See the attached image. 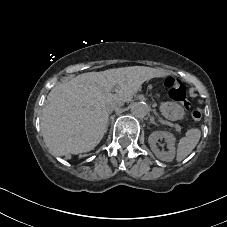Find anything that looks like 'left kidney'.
I'll list each match as a JSON object with an SVG mask.
<instances>
[{
	"label": "left kidney",
	"instance_id": "obj_1",
	"mask_svg": "<svg viewBox=\"0 0 227 227\" xmlns=\"http://www.w3.org/2000/svg\"><path fill=\"white\" fill-rule=\"evenodd\" d=\"M165 139L167 143L168 151H160L157 148L156 143L159 139ZM175 137L172 133L167 131H154L150 134L148 142L150 144L151 150L154 152L155 156L161 161L170 162L175 157Z\"/></svg>",
	"mask_w": 227,
	"mask_h": 227
}]
</instances>
